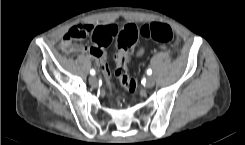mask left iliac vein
<instances>
[{
  "label": "left iliac vein",
  "instance_id": "1",
  "mask_svg": "<svg viewBox=\"0 0 245 145\" xmlns=\"http://www.w3.org/2000/svg\"><path fill=\"white\" fill-rule=\"evenodd\" d=\"M155 85V79L153 77H148L146 81V86L151 88Z\"/></svg>",
  "mask_w": 245,
  "mask_h": 145
}]
</instances>
